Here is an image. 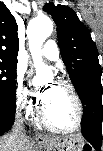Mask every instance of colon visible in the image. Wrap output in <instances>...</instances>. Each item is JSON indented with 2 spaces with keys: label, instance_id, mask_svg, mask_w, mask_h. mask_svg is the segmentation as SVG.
Listing matches in <instances>:
<instances>
[{
  "label": "colon",
  "instance_id": "obj_1",
  "mask_svg": "<svg viewBox=\"0 0 103 151\" xmlns=\"http://www.w3.org/2000/svg\"><path fill=\"white\" fill-rule=\"evenodd\" d=\"M84 151H92L89 147H85Z\"/></svg>",
  "mask_w": 103,
  "mask_h": 151
}]
</instances>
